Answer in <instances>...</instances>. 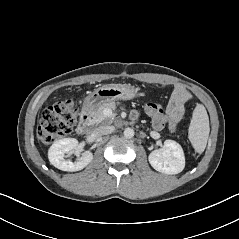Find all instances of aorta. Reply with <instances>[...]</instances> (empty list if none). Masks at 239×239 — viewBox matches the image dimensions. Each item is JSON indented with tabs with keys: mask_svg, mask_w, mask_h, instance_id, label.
Masks as SVG:
<instances>
[{
	"mask_svg": "<svg viewBox=\"0 0 239 239\" xmlns=\"http://www.w3.org/2000/svg\"><path fill=\"white\" fill-rule=\"evenodd\" d=\"M124 136L128 139L132 138L134 136V130L132 128H126L124 130Z\"/></svg>",
	"mask_w": 239,
	"mask_h": 239,
	"instance_id": "762f6f07",
	"label": "aorta"
}]
</instances>
